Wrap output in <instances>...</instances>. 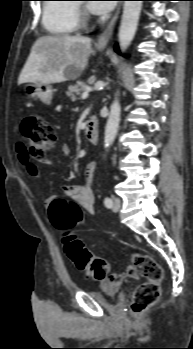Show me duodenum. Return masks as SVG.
I'll use <instances>...</instances> for the list:
<instances>
[{
  "instance_id": "obj_1",
  "label": "duodenum",
  "mask_w": 193,
  "mask_h": 349,
  "mask_svg": "<svg viewBox=\"0 0 193 349\" xmlns=\"http://www.w3.org/2000/svg\"><path fill=\"white\" fill-rule=\"evenodd\" d=\"M85 137L87 142L96 146L98 143V120L95 116L89 117L85 127Z\"/></svg>"
}]
</instances>
